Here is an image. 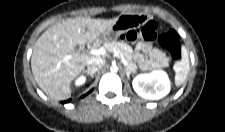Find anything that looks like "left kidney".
Listing matches in <instances>:
<instances>
[{"label":"left kidney","mask_w":225,"mask_h":132,"mask_svg":"<svg viewBox=\"0 0 225 132\" xmlns=\"http://www.w3.org/2000/svg\"><path fill=\"white\" fill-rule=\"evenodd\" d=\"M134 91L147 100H158L170 91V80L166 72L156 70L150 73L139 74L133 81Z\"/></svg>","instance_id":"5707ae66"}]
</instances>
